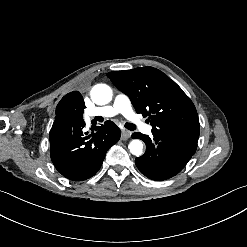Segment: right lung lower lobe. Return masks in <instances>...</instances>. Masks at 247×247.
I'll return each instance as SVG.
<instances>
[{
    "label": "right lung lower lobe",
    "instance_id": "right-lung-lower-lobe-1",
    "mask_svg": "<svg viewBox=\"0 0 247 247\" xmlns=\"http://www.w3.org/2000/svg\"><path fill=\"white\" fill-rule=\"evenodd\" d=\"M85 123L52 128L50 137L51 160L64 177L72 181L91 178L100 169L107 150L120 139L121 131L107 121L97 132L87 135Z\"/></svg>",
    "mask_w": 247,
    "mask_h": 247
}]
</instances>
